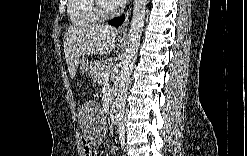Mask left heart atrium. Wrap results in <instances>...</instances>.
<instances>
[{
	"instance_id": "left-heart-atrium-1",
	"label": "left heart atrium",
	"mask_w": 247,
	"mask_h": 156,
	"mask_svg": "<svg viewBox=\"0 0 247 156\" xmlns=\"http://www.w3.org/2000/svg\"><path fill=\"white\" fill-rule=\"evenodd\" d=\"M111 2H112L114 5H119V6L126 3L125 0H112Z\"/></svg>"
}]
</instances>
